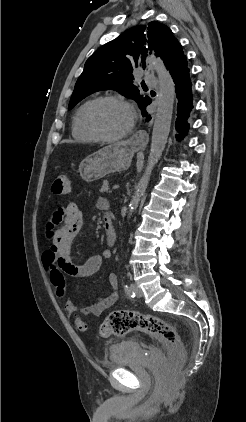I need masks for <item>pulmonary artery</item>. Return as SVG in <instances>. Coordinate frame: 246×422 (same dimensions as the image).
<instances>
[{
    "label": "pulmonary artery",
    "instance_id": "pulmonary-artery-1",
    "mask_svg": "<svg viewBox=\"0 0 246 422\" xmlns=\"http://www.w3.org/2000/svg\"><path fill=\"white\" fill-rule=\"evenodd\" d=\"M144 80L149 86L155 87L158 85V79L153 74H146Z\"/></svg>",
    "mask_w": 246,
    "mask_h": 422
}]
</instances>
